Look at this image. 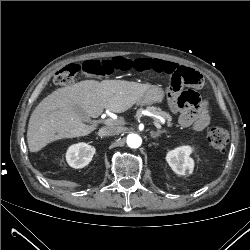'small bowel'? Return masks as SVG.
Instances as JSON below:
<instances>
[{
    "label": "small bowel",
    "instance_id": "1",
    "mask_svg": "<svg viewBox=\"0 0 250 250\" xmlns=\"http://www.w3.org/2000/svg\"><path fill=\"white\" fill-rule=\"evenodd\" d=\"M180 67L178 64L171 61L152 58H137L134 59L133 69L138 71L153 70L159 73L173 74ZM178 104L172 102L173 110H178ZM180 124L183 127H188L194 131H203L210 124L209 108L206 101H201L196 108L182 109L179 117Z\"/></svg>",
    "mask_w": 250,
    "mask_h": 250
}]
</instances>
